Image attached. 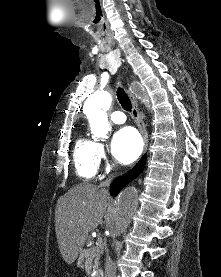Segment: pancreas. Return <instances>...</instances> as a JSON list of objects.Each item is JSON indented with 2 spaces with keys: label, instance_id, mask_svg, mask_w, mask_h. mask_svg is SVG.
Here are the masks:
<instances>
[{
  "label": "pancreas",
  "instance_id": "obj_1",
  "mask_svg": "<svg viewBox=\"0 0 221 277\" xmlns=\"http://www.w3.org/2000/svg\"><path fill=\"white\" fill-rule=\"evenodd\" d=\"M100 254H101V251L98 248H90L82 251L78 258L77 266L79 268H85L86 270L90 271L93 266L92 262L94 260L93 267L98 268L100 266V262H99ZM96 277H102V274L98 273Z\"/></svg>",
  "mask_w": 221,
  "mask_h": 277
}]
</instances>
